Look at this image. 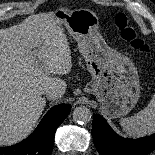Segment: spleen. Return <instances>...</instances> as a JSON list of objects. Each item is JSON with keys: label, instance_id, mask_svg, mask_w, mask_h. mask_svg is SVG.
<instances>
[{"label": "spleen", "instance_id": "1", "mask_svg": "<svg viewBox=\"0 0 155 155\" xmlns=\"http://www.w3.org/2000/svg\"><path fill=\"white\" fill-rule=\"evenodd\" d=\"M123 131L132 137H141L155 132V94L147 107L131 117L120 119Z\"/></svg>", "mask_w": 155, "mask_h": 155}]
</instances>
